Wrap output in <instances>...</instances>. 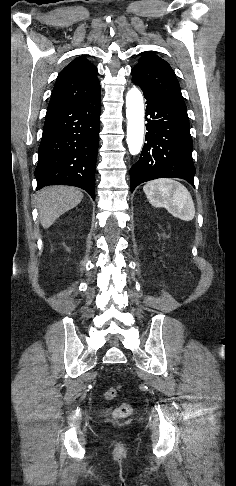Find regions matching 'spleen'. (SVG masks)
I'll return each instance as SVG.
<instances>
[{"instance_id": "spleen-1", "label": "spleen", "mask_w": 236, "mask_h": 486, "mask_svg": "<svg viewBox=\"0 0 236 486\" xmlns=\"http://www.w3.org/2000/svg\"><path fill=\"white\" fill-rule=\"evenodd\" d=\"M148 201L155 207H165L172 215L184 221L195 216V206L190 192L172 179H158L143 187Z\"/></svg>"}]
</instances>
